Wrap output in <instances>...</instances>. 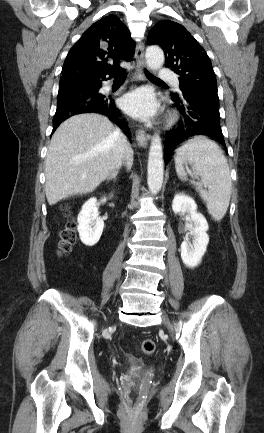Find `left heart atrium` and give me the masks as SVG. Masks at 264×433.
<instances>
[{
  "label": "left heart atrium",
  "instance_id": "39dd6f15",
  "mask_svg": "<svg viewBox=\"0 0 264 433\" xmlns=\"http://www.w3.org/2000/svg\"><path fill=\"white\" fill-rule=\"evenodd\" d=\"M121 106L128 114L140 119H149L157 111L155 98L146 88L126 94L121 100Z\"/></svg>",
  "mask_w": 264,
  "mask_h": 433
}]
</instances>
